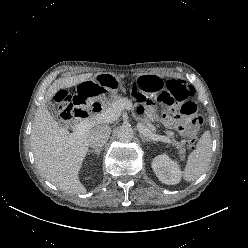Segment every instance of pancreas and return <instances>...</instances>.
I'll return each mask as SVG.
<instances>
[{
    "label": "pancreas",
    "instance_id": "obj_1",
    "mask_svg": "<svg viewBox=\"0 0 248 248\" xmlns=\"http://www.w3.org/2000/svg\"><path fill=\"white\" fill-rule=\"evenodd\" d=\"M117 102H126V103H128V104H130L132 106V101L131 100H128L127 98H124V97H121V96H118V95H114L113 99H111L110 101L107 102L106 109L109 108L110 106H112L114 103H117ZM139 121H140V124L144 125L151 132H153V133L155 132V129L153 128V125L151 123L150 118H147V117L139 118ZM173 135H174L173 132L168 131L167 136H165V137L169 140V143H171L174 147H176L178 149L179 155L181 156V158H183L184 154L186 152L184 147H183L184 142L176 141L173 138Z\"/></svg>",
    "mask_w": 248,
    "mask_h": 248
}]
</instances>
